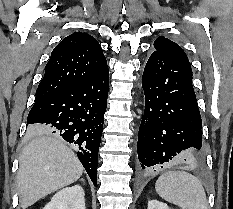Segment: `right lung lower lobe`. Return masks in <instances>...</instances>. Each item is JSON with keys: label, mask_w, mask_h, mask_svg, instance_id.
Listing matches in <instances>:
<instances>
[{"label": "right lung lower lobe", "mask_w": 233, "mask_h": 209, "mask_svg": "<svg viewBox=\"0 0 233 209\" xmlns=\"http://www.w3.org/2000/svg\"><path fill=\"white\" fill-rule=\"evenodd\" d=\"M108 89L106 67L89 80L35 101L27 119L32 130L45 127L71 143L94 185Z\"/></svg>", "instance_id": "98d812e1"}]
</instances>
